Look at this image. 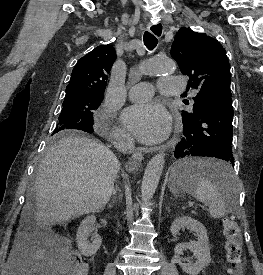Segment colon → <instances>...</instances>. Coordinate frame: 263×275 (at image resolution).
Wrapping results in <instances>:
<instances>
[{
	"label": "colon",
	"mask_w": 263,
	"mask_h": 275,
	"mask_svg": "<svg viewBox=\"0 0 263 275\" xmlns=\"http://www.w3.org/2000/svg\"><path fill=\"white\" fill-rule=\"evenodd\" d=\"M225 235L226 258L229 264V272L234 275H242L244 266L242 262V238L238 224L232 218L223 221ZM85 264L81 255L76 250H71L66 260L63 261L64 275H83Z\"/></svg>",
	"instance_id": "obj_1"
}]
</instances>
